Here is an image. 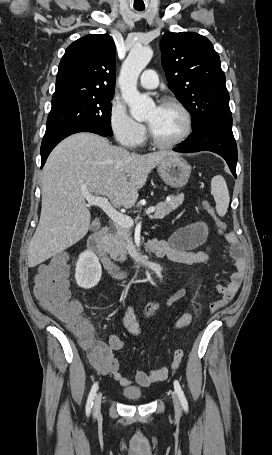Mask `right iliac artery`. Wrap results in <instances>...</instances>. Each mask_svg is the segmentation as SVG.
<instances>
[{
    "label": "right iliac artery",
    "instance_id": "1",
    "mask_svg": "<svg viewBox=\"0 0 272 455\" xmlns=\"http://www.w3.org/2000/svg\"><path fill=\"white\" fill-rule=\"evenodd\" d=\"M97 390H98V383L96 382L92 386L91 391H90L89 396H88V400H87V404H86V414H87V416L91 412V408H92V405H93V400H94V397L96 395V391Z\"/></svg>",
    "mask_w": 272,
    "mask_h": 455
}]
</instances>
